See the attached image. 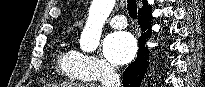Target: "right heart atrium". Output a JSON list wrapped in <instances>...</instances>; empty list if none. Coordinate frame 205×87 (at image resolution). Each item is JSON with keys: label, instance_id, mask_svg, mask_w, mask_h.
I'll list each match as a JSON object with an SVG mask.
<instances>
[{"label": "right heart atrium", "instance_id": "right-heart-atrium-1", "mask_svg": "<svg viewBox=\"0 0 205 87\" xmlns=\"http://www.w3.org/2000/svg\"><path fill=\"white\" fill-rule=\"evenodd\" d=\"M78 72L87 80H97L115 72V68L96 55L78 53Z\"/></svg>", "mask_w": 205, "mask_h": 87}]
</instances>
